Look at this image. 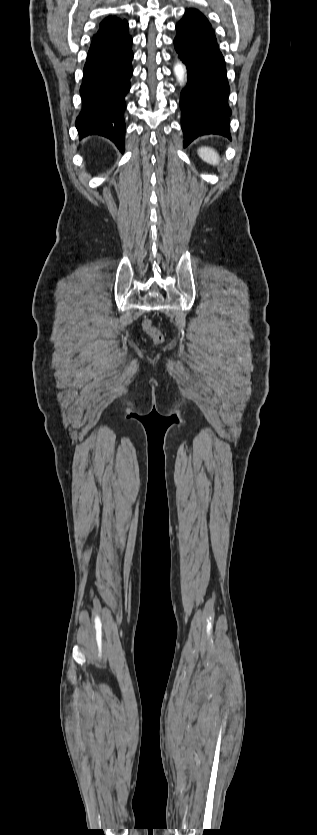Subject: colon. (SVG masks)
I'll return each mask as SVG.
<instances>
[{"mask_svg": "<svg viewBox=\"0 0 317 835\" xmlns=\"http://www.w3.org/2000/svg\"><path fill=\"white\" fill-rule=\"evenodd\" d=\"M142 327L154 343H161L163 341L162 332L153 325L151 320H144L142 323Z\"/></svg>", "mask_w": 317, "mask_h": 835, "instance_id": "obj_1", "label": "colon"}]
</instances>
